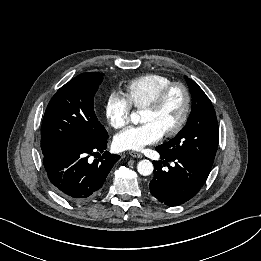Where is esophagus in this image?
I'll use <instances>...</instances> for the list:
<instances>
[{
  "label": "esophagus",
  "mask_w": 261,
  "mask_h": 261,
  "mask_svg": "<svg viewBox=\"0 0 261 261\" xmlns=\"http://www.w3.org/2000/svg\"><path fill=\"white\" fill-rule=\"evenodd\" d=\"M129 154L132 157H135V158H142L143 157V155L141 153H138V152H135V151H130Z\"/></svg>",
  "instance_id": "esophagus-1"
}]
</instances>
